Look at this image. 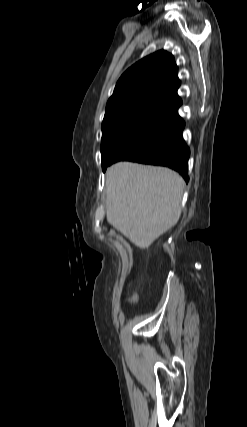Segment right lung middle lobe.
<instances>
[{
  "label": "right lung middle lobe",
  "instance_id": "1",
  "mask_svg": "<svg viewBox=\"0 0 247 427\" xmlns=\"http://www.w3.org/2000/svg\"><path fill=\"white\" fill-rule=\"evenodd\" d=\"M151 112L129 109L106 114L102 122L101 155L104 168L127 135Z\"/></svg>",
  "mask_w": 247,
  "mask_h": 427
}]
</instances>
